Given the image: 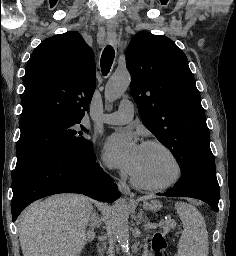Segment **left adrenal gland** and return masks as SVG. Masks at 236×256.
<instances>
[{"label":"left adrenal gland","mask_w":236,"mask_h":256,"mask_svg":"<svg viewBox=\"0 0 236 256\" xmlns=\"http://www.w3.org/2000/svg\"><path fill=\"white\" fill-rule=\"evenodd\" d=\"M138 218H139L138 224H142V220L144 218L142 210H140V214H139ZM146 220H147V218H144V222H146Z\"/></svg>","instance_id":"1"}]
</instances>
